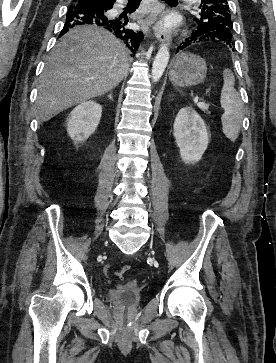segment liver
Returning <instances> with one entry per match:
<instances>
[{
	"instance_id": "6515ba94",
	"label": "liver",
	"mask_w": 276,
	"mask_h": 363,
	"mask_svg": "<svg viewBox=\"0 0 276 363\" xmlns=\"http://www.w3.org/2000/svg\"><path fill=\"white\" fill-rule=\"evenodd\" d=\"M125 45L97 26H77L52 49L40 76V122L114 89L128 73Z\"/></svg>"
}]
</instances>
